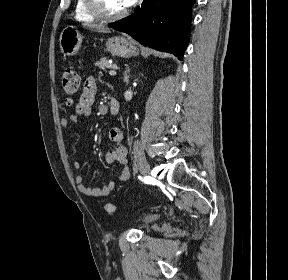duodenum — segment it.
I'll return each mask as SVG.
<instances>
[{"mask_svg":"<svg viewBox=\"0 0 288 280\" xmlns=\"http://www.w3.org/2000/svg\"><path fill=\"white\" fill-rule=\"evenodd\" d=\"M120 109L119 101L115 98L111 99L109 103V113L113 116L117 115Z\"/></svg>","mask_w":288,"mask_h":280,"instance_id":"obj_1","label":"duodenum"}]
</instances>
